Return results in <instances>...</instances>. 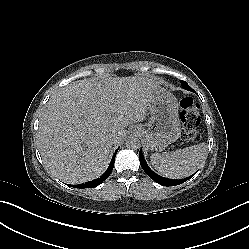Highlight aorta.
Returning a JSON list of instances; mask_svg holds the SVG:
<instances>
[{
    "label": "aorta",
    "mask_w": 249,
    "mask_h": 249,
    "mask_svg": "<svg viewBox=\"0 0 249 249\" xmlns=\"http://www.w3.org/2000/svg\"><path fill=\"white\" fill-rule=\"evenodd\" d=\"M126 147L129 149H138L140 147V140L136 137H128L126 139Z\"/></svg>",
    "instance_id": "1"
}]
</instances>
